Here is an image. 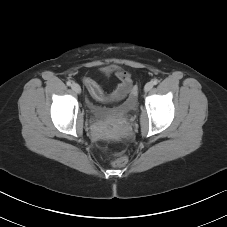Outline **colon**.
<instances>
[{"label":"colon","mask_w":227,"mask_h":227,"mask_svg":"<svg viewBox=\"0 0 227 227\" xmlns=\"http://www.w3.org/2000/svg\"><path fill=\"white\" fill-rule=\"evenodd\" d=\"M127 163V157L125 155H119L112 160V165L115 167H122Z\"/></svg>","instance_id":"1"}]
</instances>
